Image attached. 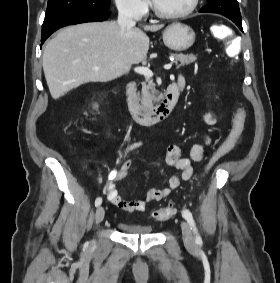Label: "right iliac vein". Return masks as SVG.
<instances>
[{"label": "right iliac vein", "mask_w": 280, "mask_h": 283, "mask_svg": "<svg viewBox=\"0 0 280 283\" xmlns=\"http://www.w3.org/2000/svg\"><path fill=\"white\" fill-rule=\"evenodd\" d=\"M105 216V210L103 207H98L95 214L96 223L99 224L103 221Z\"/></svg>", "instance_id": "right-iliac-vein-1"}]
</instances>
